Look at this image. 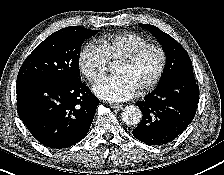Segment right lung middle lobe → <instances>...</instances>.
I'll list each match as a JSON object with an SVG mask.
<instances>
[{
    "label": "right lung middle lobe",
    "mask_w": 224,
    "mask_h": 175,
    "mask_svg": "<svg viewBox=\"0 0 224 175\" xmlns=\"http://www.w3.org/2000/svg\"><path fill=\"white\" fill-rule=\"evenodd\" d=\"M97 32L81 26H70L54 32L27 57L17 79L37 77L61 83L80 82L81 46Z\"/></svg>",
    "instance_id": "right-lung-middle-lobe-1"
}]
</instances>
